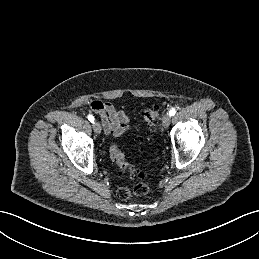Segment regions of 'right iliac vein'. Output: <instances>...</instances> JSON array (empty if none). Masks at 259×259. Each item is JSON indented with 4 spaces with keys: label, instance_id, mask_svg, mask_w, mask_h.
Masks as SVG:
<instances>
[{
    "label": "right iliac vein",
    "instance_id": "obj_1",
    "mask_svg": "<svg viewBox=\"0 0 259 259\" xmlns=\"http://www.w3.org/2000/svg\"><path fill=\"white\" fill-rule=\"evenodd\" d=\"M93 130L97 134L101 133V125L99 122H97V121L93 122Z\"/></svg>",
    "mask_w": 259,
    "mask_h": 259
}]
</instances>
